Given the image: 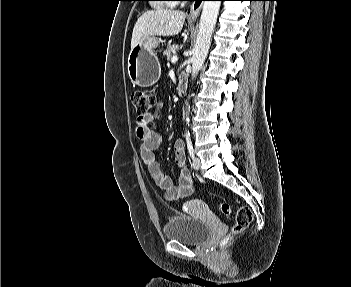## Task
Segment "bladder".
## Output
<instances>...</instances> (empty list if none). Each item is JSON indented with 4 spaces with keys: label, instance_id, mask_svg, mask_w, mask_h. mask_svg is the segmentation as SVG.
Returning <instances> with one entry per match:
<instances>
[{
    "label": "bladder",
    "instance_id": "bladder-1",
    "mask_svg": "<svg viewBox=\"0 0 351 287\" xmlns=\"http://www.w3.org/2000/svg\"><path fill=\"white\" fill-rule=\"evenodd\" d=\"M165 237L188 245H198L210 236V226L200 218L178 215L171 218L165 228Z\"/></svg>",
    "mask_w": 351,
    "mask_h": 287
}]
</instances>
